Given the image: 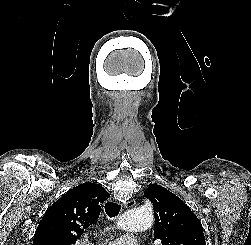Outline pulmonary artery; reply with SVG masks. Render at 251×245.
Segmentation results:
<instances>
[{
    "mask_svg": "<svg viewBox=\"0 0 251 245\" xmlns=\"http://www.w3.org/2000/svg\"><path fill=\"white\" fill-rule=\"evenodd\" d=\"M108 245H137V239L133 236H123L110 242Z\"/></svg>",
    "mask_w": 251,
    "mask_h": 245,
    "instance_id": "obj_1",
    "label": "pulmonary artery"
}]
</instances>
